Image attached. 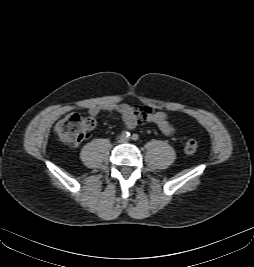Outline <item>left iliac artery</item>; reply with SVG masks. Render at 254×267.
I'll list each match as a JSON object with an SVG mask.
<instances>
[{
    "label": "left iliac artery",
    "mask_w": 254,
    "mask_h": 267,
    "mask_svg": "<svg viewBox=\"0 0 254 267\" xmlns=\"http://www.w3.org/2000/svg\"><path fill=\"white\" fill-rule=\"evenodd\" d=\"M131 139L134 140V141H137L139 139V136L137 134H133L131 136Z\"/></svg>",
    "instance_id": "1"
}]
</instances>
